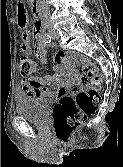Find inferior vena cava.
I'll return each instance as SVG.
<instances>
[{
  "label": "inferior vena cava",
  "mask_w": 123,
  "mask_h": 167,
  "mask_svg": "<svg viewBox=\"0 0 123 167\" xmlns=\"http://www.w3.org/2000/svg\"><path fill=\"white\" fill-rule=\"evenodd\" d=\"M41 6V9L43 11V13L47 16L50 15V10H49V6L47 4V2H45V0H38Z\"/></svg>",
  "instance_id": "1"
}]
</instances>
